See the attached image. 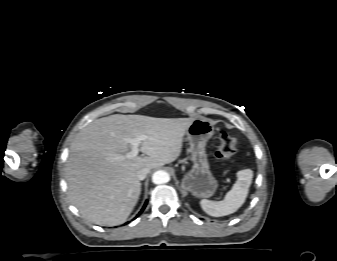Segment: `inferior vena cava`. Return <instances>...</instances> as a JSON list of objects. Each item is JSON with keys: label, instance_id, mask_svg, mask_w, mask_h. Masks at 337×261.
Instances as JSON below:
<instances>
[{"label": "inferior vena cava", "instance_id": "inferior-vena-cava-1", "mask_svg": "<svg viewBox=\"0 0 337 261\" xmlns=\"http://www.w3.org/2000/svg\"><path fill=\"white\" fill-rule=\"evenodd\" d=\"M150 169L149 168H143L138 171L137 177L139 180H144L149 173Z\"/></svg>", "mask_w": 337, "mask_h": 261}]
</instances>
